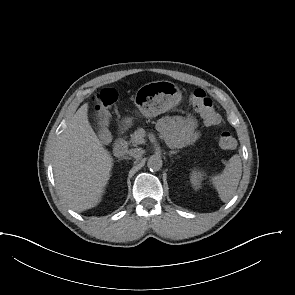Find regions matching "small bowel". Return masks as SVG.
Here are the masks:
<instances>
[{"label": "small bowel", "instance_id": "c3829d8e", "mask_svg": "<svg viewBox=\"0 0 295 295\" xmlns=\"http://www.w3.org/2000/svg\"><path fill=\"white\" fill-rule=\"evenodd\" d=\"M157 127L172 146L188 145L198 136L197 123L191 117L166 116L158 121Z\"/></svg>", "mask_w": 295, "mask_h": 295}]
</instances>
